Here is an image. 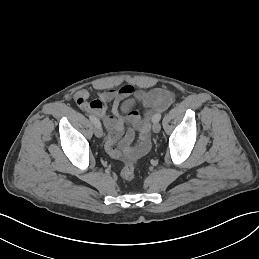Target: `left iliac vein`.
I'll use <instances>...</instances> for the list:
<instances>
[{
    "instance_id": "1",
    "label": "left iliac vein",
    "mask_w": 259,
    "mask_h": 259,
    "mask_svg": "<svg viewBox=\"0 0 259 259\" xmlns=\"http://www.w3.org/2000/svg\"><path fill=\"white\" fill-rule=\"evenodd\" d=\"M152 130H153L155 133L160 132V130H161V125H160L158 122H154V124H153V126H152Z\"/></svg>"
}]
</instances>
